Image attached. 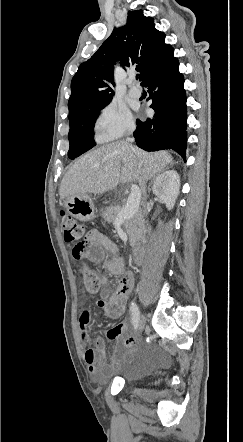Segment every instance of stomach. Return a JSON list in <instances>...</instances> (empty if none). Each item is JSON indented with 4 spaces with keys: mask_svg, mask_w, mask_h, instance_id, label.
I'll use <instances>...</instances> for the list:
<instances>
[{
    "mask_svg": "<svg viewBox=\"0 0 243 442\" xmlns=\"http://www.w3.org/2000/svg\"><path fill=\"white\" fill-rule=\"evenodd\" d=\"M64 207L71 216L80 221H89L96 216L93 199L88 194L68 198Z\"/></svg>",
    "mask_w": 243,
    "mask_h": 442,
    "instance_id": "0dacf381",
    "label": "stomach"
}]
</instances>
